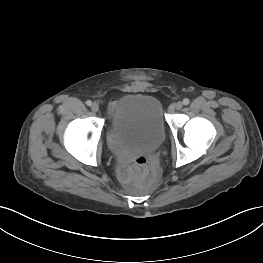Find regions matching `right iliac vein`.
I'll use <instances>...</instances> for the list:
<instances>
[{"mask_svg":"<svg viewBox=\"0 0 263 263\" xmlns=\"http://www.w3.org/2000/svg\"><path fill=\"white\" fill-rule=\"evenodd\" d=\"M91 109H92L93 112H98V110H99V105H98L97 103H93V104L91 105Z\"/></svg>","mask_w":263,"mask_h":263,"instance_id":"obj_1","label":"right iliac vein"}]
</instances>
